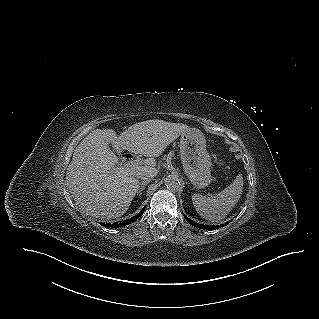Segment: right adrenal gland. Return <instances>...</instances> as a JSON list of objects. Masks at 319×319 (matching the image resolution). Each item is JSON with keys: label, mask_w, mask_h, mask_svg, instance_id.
Instances as JSON below:
<instances>
[{"label": "right adrenal gland", "mask_w": 319, "mask_h": 319, "mask_svg": "<svg viewBox=\"0 0 319 319\" xmlns=\"http://www.w3.org/2000/svg\"><path fill=\"white\" fill-rule=\"evenodd\" d=\"M150 180H143L142 182L139 183L138 189H137V194L141 195L147 184H149Z\"/></svg>", "instance_id": "2a0ac1e0"}]
</instances>
